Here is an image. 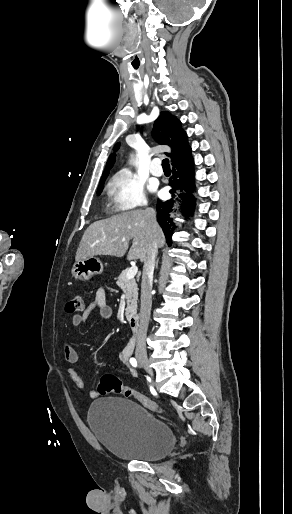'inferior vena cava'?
Instances as JSON below:
<instances>
[{"label":"inferior vena cava","mask_w":292,"mask_h":514,"mask_svg":"<svg viewBox=\"0 0 292 514\" xmlns=\"http://www.w3.org/2000/svg\"><path fill=\"white\" fill-rule=\"evenodd\" d=\"M151 224L156 222V214L152 208H148ZM157 254V244L153 242L148 250L147 258L143 266L142 282H141V310H140V326L137 334L136 354L146 352V334L148 330L152 298V282L155 266V258Z\"/></svg>","instance_id":"inferior-vena-cava-1"}]
</instances>
